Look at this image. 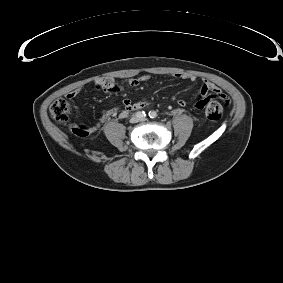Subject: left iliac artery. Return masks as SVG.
Instances as JSON below:
<instances>
[{
	"instance_id": "1",
	"label": "left iliac artery",
	"mask_w": 283,
	"mask_h": 283,
	"mask_svg": "<svg viewBox=\"0 0 283 283\" xmlns=\"http://www.w3.org/2000/svg\"><path fill=\"white\" fill-rule=\"evenodd\" d=\"M149 117H150L151 119H154V118L157 117V113H156L155 111H150V112H149Z\"/></svg>"
}]
</instances>
